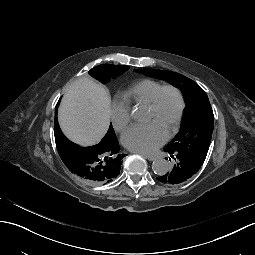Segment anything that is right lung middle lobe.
<instances>
[{"label": "right lung middle lobe", "mask_w": 255, "mask_h": 255, "mask_svg": "<svg viewBox=\"0 0 255 255\" xmlns=\"http://www.w3.org/2000/svg\"><path fill=\"white\" fill-rule=\"evenodd\" d=\"M129 69V66L104 64L98 65L89 71V74L101 83H107L111 78H115Z\"/></svg>", "instance_id": "obj_1"}]
</instances>
